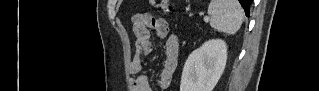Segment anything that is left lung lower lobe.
I'll return each instance as SVG.
<instances>
[{
    "instance_id": "left-lung-lower-lobe-1",
    "label": "left lung lower lobe",
    "mask_w": 319,
    "mask_h": 91,
    "mask_svg": "<svg viewBox=\"0 0 319 91\" xmlns=\"http://www.w3.org/2000/svg\"><path fill=\"white\" fill-rule=\"evenodd\" d=\"M242 7L244 8L246 16H249L250 14V4L252 3V0H238Z\"/></svg>"
}]
</instances>
